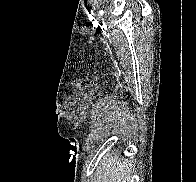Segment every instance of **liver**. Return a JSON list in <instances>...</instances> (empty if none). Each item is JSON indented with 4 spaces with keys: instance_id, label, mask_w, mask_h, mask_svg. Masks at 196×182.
I'll use <instances>...</instances> for the list:
<instances>
[{
    "instance_id": "obj_1",
    "label": "liver",
    "mask_w": 196,
    "mask_h": 182,
    "mask_svg": "<svg viewBox=\"0 0 196 182\" xmlns=\"http://www.w3.org/2000/svg\"><path fill=\"white\" fill-rule=\"evenodd\" d=\"M131 163L108 155L104 157L98 168V182H129Z\"/></svg>"
}]
</instances>
